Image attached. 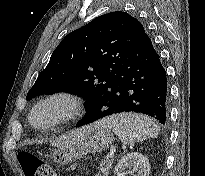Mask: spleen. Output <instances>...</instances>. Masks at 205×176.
<instances>
[{"label":"spleen","mask_w":205,"mask_h":176,"mask_svg":"<svg viewBox=\"0 0 205 176\" xmlns=\"http://www.w3.org/2000/svg\"><path fill=\"white\" fill-rule=\"evenodd\" d=\"M114 131L121 142L134 144L148 138H157L158 128L147 116L135 113H119L97 122Z\"/></svg>","instance_id":"spleen-1"}]
</instances>
